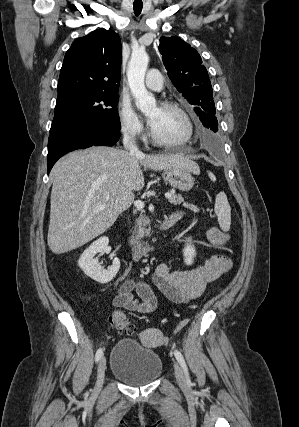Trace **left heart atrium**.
<instances>
[{
	"instance_id": "obj_1",
	"label": "left heart atrium",
	"mask_w": 299,
	"mask_h": 427,
	"mask_svg": "<svg viewBox=\"0 0 299 427\" xmlns=\"http://www.w3.org/2000/svg\"><path fill=\"white\" fill-rule=\"evenodd\" d=\"M151 122H152V121H151V119L149 118V123H150V125H151Z\"/></svg>"
}]
</instances>
